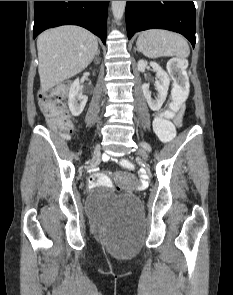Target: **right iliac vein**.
<instances>
[{
    "mask_svg": "<svg viewBox=\"0 0 233 295\" xmlns=\"http://www.w3.org/2000/svg\"><path fill=\"white\" fill-rule=\"evenodd\" d=\"M100 152V146L99 145H96V147L94 148V151H93V155L94 156H97Z\"/></svg>",
    "mask_w": 233,
    "mask_h": 295,
    "instance_id": "63e3f726",
    "label": "right iliac vein"
}]
</instances>
